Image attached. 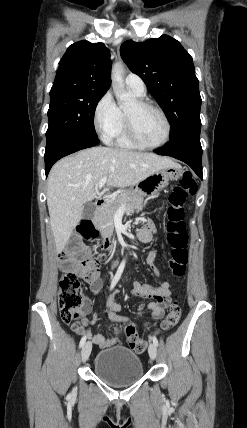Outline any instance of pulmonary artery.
<instances>
[{
	"label": "pulmonary artery",
	"mask_w": 247,
	"mask_h": 428,
	"mask_svg": "<svg viewBox=\"0 0 247 428\" xmlns=\"http://www.w3.org/2000/svg\"><path fill=\"white\" fill-rule=\"evenodd\" d=\"M125 84L131 91L140 96H143L146 93L144 81L136 74H128L125 79Z\"/></svg>",
	"instance_id": "pulmonary-artery-1"
}]
</instances>
